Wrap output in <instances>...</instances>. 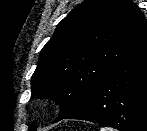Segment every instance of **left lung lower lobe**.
Instances as JSON below:
<instances>
[{"mask_svg": "<svg viewBox=\"0 0 147 131\" xmlns=\"http://www.w3.org/2000/svg\"><path fill=\"white\" fill-rule=\"evenodd\" d=\"M65 119L147 131V42L120 61L84 105Z\"/></svg>", "mask_w": 147, "mask_h": 131, "instance_id": "left-lung-lower-lobe-1", "label": "left lung lower lobe"}]
</instances>
